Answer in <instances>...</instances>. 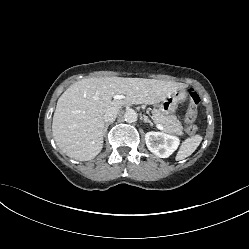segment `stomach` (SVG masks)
<instances>
[{
  "label": "stomach",
  "mask_w": 249,
  "mask_h": 249,
  "mask_svg": "<svg viewBox=\"0 0 249 249\" xmlns=\"http://www.w3.org/2000/svg\"><path fill=\"white\" fill-rule=\"evenodd\" d=\"M179 101L177 93L170 95L159 104V111L166 116L172 115L176 111Z\"/></svg>",
  "instance_id": "1"
}]
</instances>
